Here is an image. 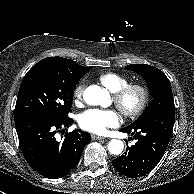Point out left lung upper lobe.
<instances>
[{
  "instance_id": "5c2ea615",
  "label": "left lung upper lobe",
  "mask_w": 194,
  "mask_h": 194,
  "mask_svg": "<svg viewBox=\"0 0 194 194\" xmlns=\"http://www.w3.org/2000/svg\"><path fill=\"white\" fill-rule=\"evenodd\" d=\"M126 69L138 73L146 80L150 88V93L153 97L151 103L138 119L156 111L175 110L171 84L169 79L162 71L156 67L143 64L127 65Z\"/></svg>"
}]
</instances>
